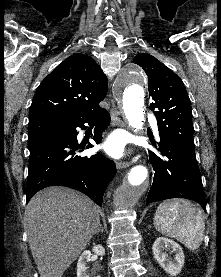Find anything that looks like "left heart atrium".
<instances>
[{
  "label": "left heart atrium",
  "mask_w": 221,
  "mask_h": 277,
  "mask_svg": "<svg viewBox=\"0 0 221 277\" xmlns=\"http://www.w3.org/2000/svg\"><path fill=\"white\" fill-rule=\"evenodd\" d=\"M103 148L110 156L119 158L125 153L126 138L119 132L112 133L106 138Z\"/></svg>",
  "instance_id": "obj_1"
}]
</instances>
